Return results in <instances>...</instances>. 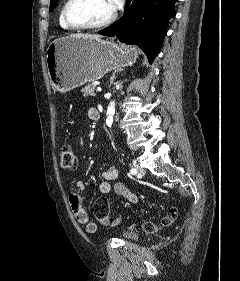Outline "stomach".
<instances>
[{"label":"stomach","mask_w":240,"mask_h":281,"mask_svg":"<svg viewBox=\"0 0 240 281\" xmlns=\"http://www.w3.org/2000/svg\"><path fill=\"white\" fill-rule=\"evenodd\" d=\"M137 58L135 47L75 36L54 40L46 51L50 81L60 92L98 80L111 70L132 65Z\"/></svg>","instance_id":"0dacf381"}]
</instances>
